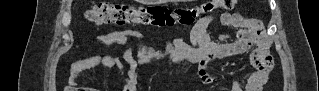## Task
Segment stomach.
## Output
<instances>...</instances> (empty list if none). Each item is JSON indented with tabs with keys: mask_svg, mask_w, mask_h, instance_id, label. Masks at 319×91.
Masks as SVG:
<instances>
[{
	"mask_svg": "<svg viewBox=\"0 0 319 91\" xmlns=\"http://www.w3.org/2000/svg\"><path fill=\"white\" fill-rule=\"evenodd\" d=\"M166 0H143V2H145V4H158V3H162L165 2Z\"/></svg>",
	"mask_w": 319,
	"mask_h": 91,
	"instance_id": "0dacf381",
	"label": "stomach"
}]
</instances>
